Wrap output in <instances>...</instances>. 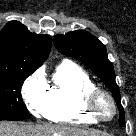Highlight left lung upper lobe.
Returning a JSON list of instances; mask_svg holds the SVG:
<instances>
[{
  "mask_svg": "<svg viewBox=\"0 0 136 136\" xmlns=\"http://www.w3.org/2000/svg\"><path fill=\"white\" fill-rule=\"evenodd\" d=\"M57 49L73 57L90 68L113 93L120 111V124H124V111L121 105L119 88L115 82L112 63L107 58L105 46L90 33L77 30L54 38Z\"/></svg>",
  "mask_w": 136,
  "mask_h": 136,
  "instance_id": "obj_1",
  "label": "left lung upper lobe"
}]
</instances>
